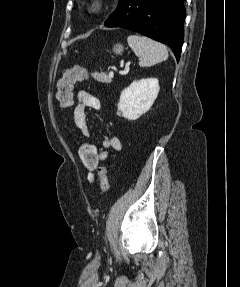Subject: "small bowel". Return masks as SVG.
<instances>
[{
    "label": "small bowel",
    "instance_id": "1",
    "mask_svg": "<svg viewBox=\"0 0 240 287\" xmlns=\"http://www.w3.org/2000/svg\"><path fill=\"white\" fill-rule=\"evenodd\" d=\"M100 108L101 103L96 96L84 90L78 93V104L73 112V122L83 138H87L90 135V129L87 123V109L100 110ZM110 149L115 151H120L122 149V143L118 137H103L101 147L97 148L100 161L108 159Z\"/></svg>",
    "mask_w": 240,
    "mask_h": 287
}]
</instances>
